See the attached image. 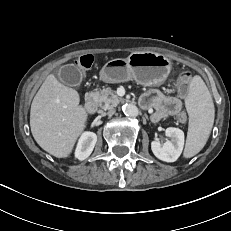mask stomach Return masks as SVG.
Listing matches in <instances>:
<instances>
[{
	"label": "stomach",
	"mask_w": 231,
	"mask_h": 231,
	"mask_svg": "<svg viewBox=\"0 0 231 231\" xmlns=\"http://www.w3.org/2000/svg\"><path fill=\"white\" fill-rule=\"evenodd\" d=\"M171 70V61L160 53L134 52L126 59H112L100 71V78L106 83H120L135 80L152 86L162 83Z\"/></svg>",
	"instance_id": "0dacf381"
}]
</instances>
